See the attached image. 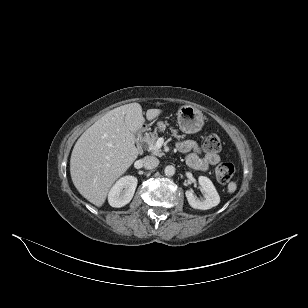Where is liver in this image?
<instances>
[{
	"mask_svg": "<svg viewBox=\"0 0 308 308\" xmlns=\"http://www.w3.org/2000/svg\"><path fill=\"white\" fill-rule=\"evenodd\" d=\"M162 113L149 109L147 120ZM145 119L139 103H130L107 112L77 140L70 159L74 186L89 202L101 207L115 181L133 164L139 154L133 133Z\"/></svg>",
	"mask_w": 308,
	"mask_h": 308,
	"instance_id": "liver-1",
	"label": "liver"
}]
</instances>
